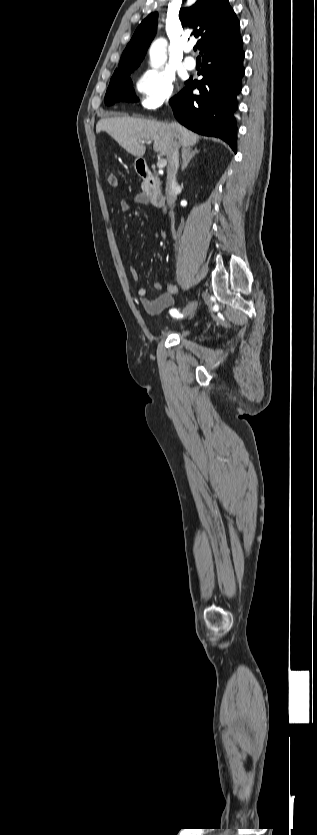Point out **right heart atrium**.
Masks as SVG:
<instances>
[{
	"label": "right heart atrium",
	"mask_w": 317,
	"mask_h": 835,
	"mask_svg": "<svg viewBox=\"0 0 317 835\" xmlns=\"http://www.w3.org/2000/svg\"><path fill=\"white\" fill-rule=\"evenodd\" d=\"M174 78L161 69H149L137 78L135 88L140 103L146 109H156L166 104L174 93Z\"/></svg>",
	"instance_id": "d8ad5b80"
}]
</instances>
